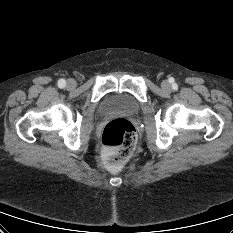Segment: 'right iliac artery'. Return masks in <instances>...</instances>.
I'll use <instances>...</instances> for the list:
<instances>
[{
    "instance_id": "right-iliac-artery-1",
    "label": "right iliac artery",
    "mask_w": 233,
    "mask_h": 233,
    "mask_svg": "<svg viewBox=\"0 0 233 233\" xmlns=\"http://www.w3.org/2000/svg\"><path fill=\"white\" fill-rule=\"evenodd\" d=\"M58 86H59L60 88H64V87L66 86V81H65L64 79H60V80L58 81Z\"/></svg>"
}]
</instances>
